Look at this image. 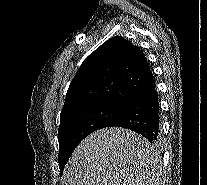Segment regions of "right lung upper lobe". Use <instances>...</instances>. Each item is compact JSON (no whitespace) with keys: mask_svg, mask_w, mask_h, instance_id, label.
<instances>
[{"mask_svg":"<svg viewBox=\"0 0 207 185\" xmlns=\"http://www.w3.org/2000/svg\"><path fill=\"white\" fill-rule=\"evenodd\" d=\"M153 83L149 63L140 48L121 36L113 37L82 62L67 90L60 120L104 104L122 108Z\"/></svg>","mask_w":207,"mask_h":185,"instance_id":"1","label":"right lung upper lobe"}]
</instances>
